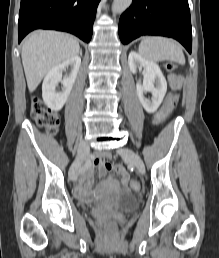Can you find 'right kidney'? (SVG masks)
Segmentation results:
<instances>
[{
  "label": "right kidney",
  "instance_id": "ca27d5eb",
  "mask_svg": "<svg viewBox=\"0 0 219 258\" xmlns=\"http://www.w3.org/2000/svg\"><path fill=\"white\" fill-rule=\"evenodd\" d=\"M80 65L81 58L76 55L51 69L45 76L42 84V97L45 104L51 110L59 111L66 103L75 83ZM69 67L71 68L69 76L62 79L63 71ZM59 82L62 84L61 92L56 91V86Z\"/></svg>",
  "mask_w": 219,
  "mask_h": 258
}]
</instances>
